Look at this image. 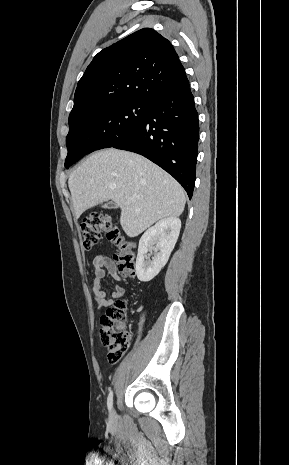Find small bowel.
Here are the masks:
<instances>
[{
    "mask_svg": "<svg viewBox=\"0 0 289 465\" xmlns=\"http://www.w3.org/2000/svg\"><path fill=\"white\" fill-rule=\"evenodd\" d=\"M94 265V281L92 284V291L94 299L99 309L108 307L114 303V299L121 298L125 294V289L122 286H115L113 288L111 297H108L104 288L103 282L107 279L109 274L115 280L120 281L121 278L118 275L117 264L106 254H100L93 260Z\"/></svg>",
    "mask_w": 289,
    "mask_h": 465,
    "instance_id": "1",
    "label": "small bowel"
}]
</instances>
